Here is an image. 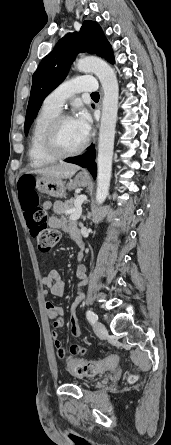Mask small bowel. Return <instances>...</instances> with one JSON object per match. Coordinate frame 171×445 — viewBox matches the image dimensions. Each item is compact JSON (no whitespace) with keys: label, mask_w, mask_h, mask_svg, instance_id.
<instances>
[{"label":"small bowel","mask_w":171,"mask_h":445,"mask_svg":"<svg viewBox=\"0 0 171 445\" xmlns=\"http://www.w3.org/2000/svg\"><path fill=\"white\" fill-rule=\"evenodd\" d=\"M44 207L46 209H52L54 208V205L51 202H45ZM49 223L53 228L56 229H64L67 230L71 236H79V230L75 223L70 222L67 223L64 218L53 216L49 219ZM77 276L81 280V284H84L86 282V267L83 265L78 266L77 268ZM41 283L43 286H45L48 290L44 291V295H47L48 292H50L52 295L57 297H62L65 293V282L60 278L57 272L51 271L46 274H44L41 278ZM78 306V303L75 302L71 306V312L74 313L76 308ZM45 309L46 313L49 318L53 320V327L55 329H59L64 324V315L65 311L62 306L56 305L51 301H47L45 303ZM71 335L74 337H78L80 335V326L78 324V321L76 317L72 316L71 318V328H70ZM52 338L54 340V347L58 353L59 356L65 355V350L63 348V343L61 341V338L59 334L54 331L52 333ZM81 350V345L79 343H75L70 347V355L69 359H73V355ZM115 357V356H114ZM117 364V358L115 357V362L108 366L107 369H114Z\"/></svg>","instance_id":"1"}]
</instances>
